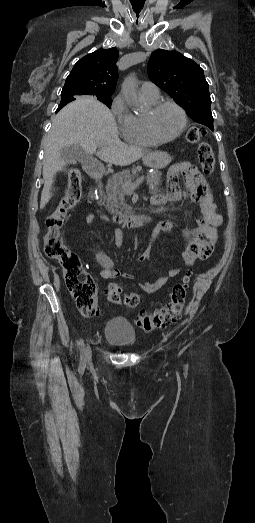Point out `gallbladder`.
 <instances>
[{"mask_svg": "<svg viewBox=\"0 0 255 523\" xmlns=\"http://www.w3.org/2000/svg\"><path fill=\"white\" fill-rule=\"evenodd\" d=\"M60 158H62V160H77V162H80L83 166L92 162V156L87 154L78 144H71V146H67V148H62V150H60Z\"/></svg>", "mask_w": 255, "mask_h": 523, "instance_id": "bac80fb5", "label": "gallbladder"}]
</instances>
